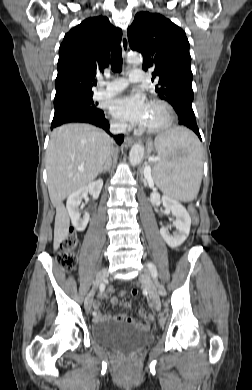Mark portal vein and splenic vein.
Wrapping results in <instances>:
<instances>
[{
	"label": "portal vein and splenic vein",
	"mask_w": 252,
	"mask_h": 390,
	"mask_svg": "<svg viewBox=\"0 0 252 390\" xmlns=\"http://www.w3.org/2000/svg\"><path fill=\"white\" fill-rule=\"evenodd\" d=\"M157 160H158L157 157H150L149 158V161H152V162H156ZM144 173L146 176H148L150 178L151 168L149 166H146L144 169Z\"/></svg>",
	"instance_id": "18ae733b"
}]
</instances>
